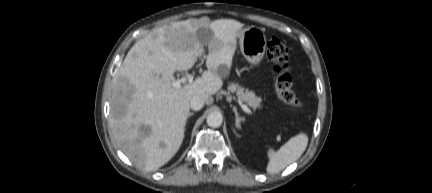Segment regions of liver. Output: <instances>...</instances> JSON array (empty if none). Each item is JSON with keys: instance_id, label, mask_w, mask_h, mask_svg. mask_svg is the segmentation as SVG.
<instances>
[{"instance_id": "6515ba94", "label": "liver", "mask_w": 432, "mask_h": 193, "mask_svg": "<svg viewBox=\"0 0 432 193\" xmlns=\"http://www.w3.org/2000/svg\"><path fill=\"white\" fill-rule=\"evenodd\" d=\"M243 26L233 19L211 22L207 17L173 22L129 50L113 78L109 125L118 147L136 166L157 170L177 153L192 97L201 95L212 103V95L223 85L218 71L231 67ZM208 30L212 34L207 43L208 70L193 83L174 88V73L194 66Z\"/></svg>"}]
</instances>
